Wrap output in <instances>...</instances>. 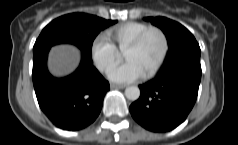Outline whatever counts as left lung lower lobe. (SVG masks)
Listing matches in <instances>:
<instances>
[{
	"instance_id": "obj_1",
	"label": "left lung lower lobe",
	"mask_w": 238,
	"mask_h": 145,
	"mask_svg": "<svg viewBox=\"0 0 238 145\" xmlns=\"http://www.w3.org/2000/svg\"><path fill=\"white\" fill-rule=\"evenodd\" d=\"M200 80V57L162 68L155 78L139 86L141 95L129 108L132 117L153 132L173 130L192 110Z\"/></svg>"
}]
</instances>
